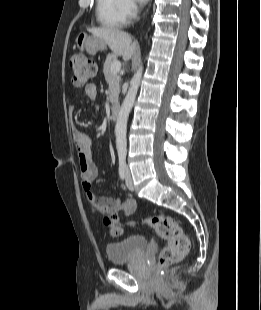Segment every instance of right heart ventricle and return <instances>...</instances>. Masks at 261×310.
I'll return each instance as SVG.
<instances>
[{"label":"right heart ventricle","instance_id":"1","mask_svg":"<svg viewBox=\"0 0 261 310\" xmlns=\"http://www.w3.org/2000/svg\"><path fill=\"white\" fill-rule=\"evenodd\" d=\"M96 18L106 28H120L126 24L120 11V0H96Z\"/></svg>","mask_w":261,"mask_h":310}]
</instances>
